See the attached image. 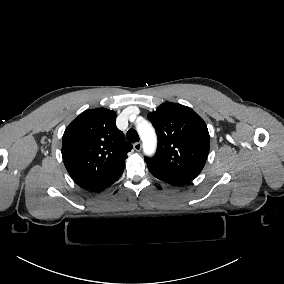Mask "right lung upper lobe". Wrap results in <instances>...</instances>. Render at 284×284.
I'll return each mask as SVG.
<instances>
[{
	"label": "right lung upper lobe",
	"mask_w": 284,
	"mask_h": 284,
	"mask_svg": "<svg viewBox=\"0 0 284 284\" xmlns=\"http://www.w3.org/2000/svg\"><path fill=\"white\" fill-rule=\"evenodd\" d=\"M116 113L86 110L66 128L62 138L64 165L83 189L102 191L121 176L132 145L116 127Z\"/></svg>",
	"instance_id": "1"
}]
</instances>
